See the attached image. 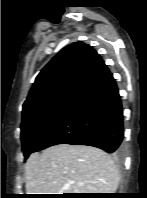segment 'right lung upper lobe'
Here are the masks:
<instances>
[{"mask_svg": "<svg viewBox=\"0 0 147 198\" xmlns=\"http://www.w3.org/2000/svg\"><path fill=\"white\" fill-rule=\"evenodd\" d=\"M108 73L104 61L91 46L72 43L41 70L23 104L22 113L52 102H76Z\"/></svg>", "mask_w": 147, "mask_h": 198, "instance_id": "cb5924a9", "label": "right lung upper lobe"}]
</instances>
